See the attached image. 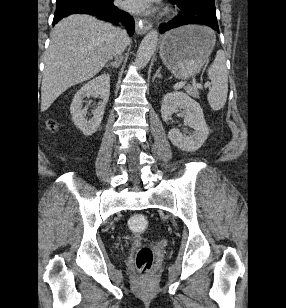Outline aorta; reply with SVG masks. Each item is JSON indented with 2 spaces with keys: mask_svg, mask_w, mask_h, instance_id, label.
I'll return each mask as SVG.
<instances>
[{
  "mask_svg": "<svg viewBox=\"0 0 286 308\" xmlns=\"http://www.w3.org/2000/svg\"><path fill=\"white\" fill-rule=\"evenodd\" d=\"M158 36V31L156 29H152L143 38L136 54L135 62L137 67L144 68L149 63L156 50Z\"/></svg>",
  "mask_w": 286,
  "mask_h": 308,
  "instance_id": "762f6f07",
  "label": "aorta"
}]
</instances>
